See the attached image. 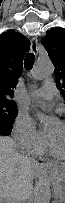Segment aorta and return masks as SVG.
<instances>
[{
  "mask_svg": "<svg viewBox=\"0 0 65 203\" xmlns=\"http://www.w3.org/2000/svg\"><path fill=\"white\" fill-rule=\"evenodd\" d=\"M54 65L50 59L39 60L35 69L32 72V76L36 80H42L54 73ZM41 123H46L49 117L42 112L39 108L35 109ZM51 200V183L49 178L42 177L35 189L33 203H50Z\"/></svg>",
  "mask_w": 65,
  "mask_h": 203,
  "instance_id": "aorta-1",
  "label": "aorta"
}]
</instances>
